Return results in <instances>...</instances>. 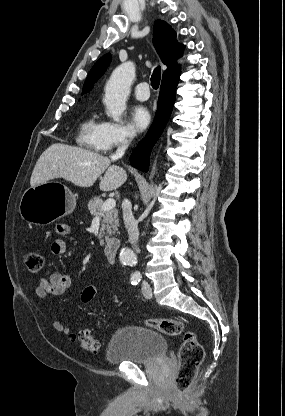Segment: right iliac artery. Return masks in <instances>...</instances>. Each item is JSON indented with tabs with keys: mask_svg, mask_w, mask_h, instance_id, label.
<instances>
[{
	"mask_svg": "<svg viewBox=\"0 0 285 416\" xmlns=\"http://www.w3.org/2000/svg\"><path fill=\"white\" fill-rule=\"evenodd\" d=\"M130 280L132 285H137L141 280V274L139 272L133 273Z\"/></svg>",
	"mask_w": 285,
	"mask_h": 416,
	"instance_id": "obj_1",
	"label": "right iliac artery"
}]
</instances>
